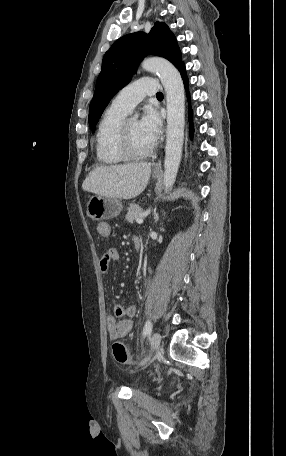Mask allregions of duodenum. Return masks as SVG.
<instances>
[{"label":"duodenum","mask_w":286,"mask_h":456,"mask_svg":"<svg viewBox=\"0 0 286 456\" xmlns=\"http://www.w3.org/2000/svg\"><path fill=\"white\" fill-rule=\"evenodd\" d=\"M133 245H134V248L135 250H140L141 249V245H142V242H141V238L136 236L133 238Z\"/></svg>","instance_id":"410a0bca"}]
</instances>
